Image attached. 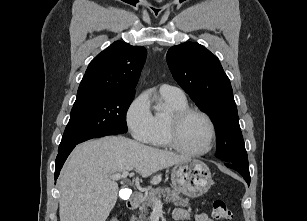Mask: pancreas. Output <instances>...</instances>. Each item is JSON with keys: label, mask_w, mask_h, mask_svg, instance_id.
<instances>
[{"label": "pancreas", "mask_w": 307, "mask_h": 221, "mask_svg": "<svg viewBox=\"0 0 307 221\" xmlns=\"http://www.w3.org/2000/svg\"><path fill=\"white\" fill-rule=\"evenodd\" d=\"M163 196L166 202L171 201L175 206L180 207H188L189 200L188 198H183L180 196L179 192L176 190H172L169 187L165 188H156L151 189L148 193H146L142 200L141 206L139 208L140 215L137 218L136 216H132L131 221H147V216L149 215V208L154 207V202L157 199H160Z\"/></svg>", "instance_id": "1"}]
</instances>
